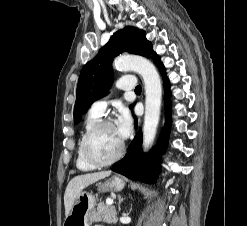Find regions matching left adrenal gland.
<instances>
[{
  "label": "left adrenal gland",
  "instance_id": "a2214340",
  "mask_svg": "<svg viewBox=\"0 0 247 226\" xmlns=\"http://www.w3.org/2000/svg\"><path fill=\"white\" fill-rule=\"evenodd\" d=\"M122 201H123V198L121 197V195H119V196H118V211L121 210L120 205H121Z\"/></svg>",
  "mask_w": 247,
  "mask_h": 226
}]
</instances>
